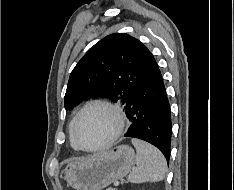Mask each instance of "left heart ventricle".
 I'll use <instances>...</instances> for the list:
<instances>
[{"label": "left heart ventricle", "instance_id": "1", "mask_svg": "<svg viewBox=\"0 0 234 190\" xmlns=\"http://www.w3.org/2000/svg\"><path fill=\"white\" fill-rule=\"evenodd\" d=\"M115 127V119L108 110L101 107L91 108L79 121L77 140L85 147H94L107 140Z\"/></svg>", "mask_w": 234, "mask_h": 190}]
</instances>
